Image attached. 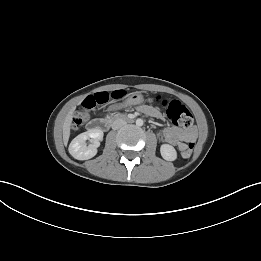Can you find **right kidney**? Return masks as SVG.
<instances>
[{
    "mask_svg": "<svg viewBox=\"0 0 261 261\" xmlns=\"http://www.w3.org/2000/svg\"><path fill=\"white\" fill-rule=\"evenodd\" d=\"M103 139V131L100 129H90L76 136L69 145V153L77 160H88L94 157ZM89 140L91 144L86 145Z\"/></svg>",
    "mask_w": 261,
    "mask_h": 261,
    "instance_id": "1",
    "label": "right kidney"
}]
</instances>
